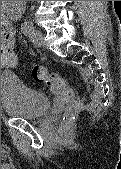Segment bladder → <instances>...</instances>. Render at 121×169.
<instances>
[{"label": "bladder", "mask_w": 121, "mask_h": 169, "mask_svg": "<svg viewBox=\"0 0 121 169\" xmlns=\"http://www.w3.org/2000/svg\"><path fill=\"white\" fill-rule=\"evenodd\" d=\"M1 106L11 118L36 120L51 109V100L43 93L23 84L15 75L1 76Z\"/></svg>", "instance_id": "31cf9c89"}]
</instances>
